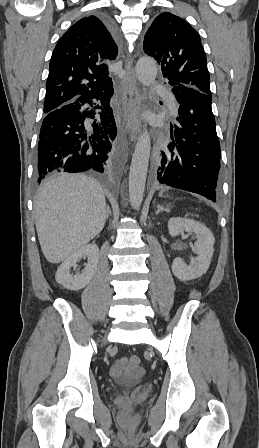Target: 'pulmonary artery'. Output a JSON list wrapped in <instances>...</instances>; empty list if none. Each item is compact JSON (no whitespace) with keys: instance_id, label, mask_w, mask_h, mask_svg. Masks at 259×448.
I'll use <instances>...</instances> for the list:
<instances>
[{"instance_id":"obj_1","label":"pulmonary artery","mask_w":259,"mask_h":448,"mask_svg":"<svg viewBox=\"0 0 259 448\" xmlns=\"http://www.w3.org/2000/svg\"><path fill=\"white\" fill-rule=\"evenodd\" d=\"M164 99L167 102L170 110L177 111V103H176L175 98L172 95L165 96Z\"/></svg>"}]
</instances>
